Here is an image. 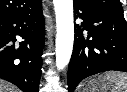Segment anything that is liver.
I'll return each mask as SVG.
<instances>
[{
	"label": "liver",
	"mask_w": 127,
	"mask_h": 92,
	"mask_svg": "<svg viewBox=\"0 0 127 92\" xmlns=\"http://www.w3.org/2000/svg\"><path fill=\"white\" fill-rule=\"evenodd\" d=\"M0 92H20V91L12 84L0 79Z\"/></svg>",
	"instance_id": "liver-1"
}]
</instances>
